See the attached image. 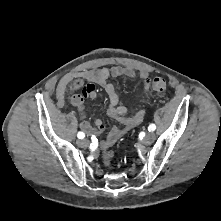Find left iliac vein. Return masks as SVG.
Here are the masks:
<instances>
[{"mask_svg":"<svg viewBox=\"0 0 221 221\" xmlns=\"http://www.w3.org/2000/svg\"><path fill=\"white\" fill-rule=\"evenodd\" d=\"M155 140V134L153 132H149L146 134V136L143 138L142 143L145 145H150Z\"/></svg>","mask_w":221,"mask_h":221,"instance_id":"1","label":"left iliac vein"}]
</instances>
